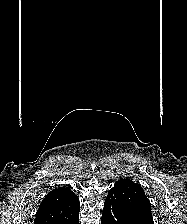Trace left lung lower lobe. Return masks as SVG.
Wrapping results in <instances>:
<instances>
[{"mask_svg":"<svg viewBox=\"0 0 187 224\" xmlns=\"http://www.w3.org/2000/svg\"><path fill=\"white\" fill-rule=\"evenodd\" d=\"M102 224H151L131 215L113 193H108L104 202Z\"/></svg>","mask_w":187,"mask_h":224,"instance_id":"obj_1","label":"left lung lower lobe"}]
</instances>
